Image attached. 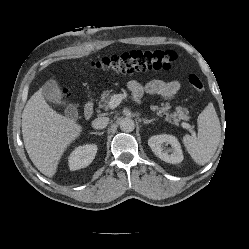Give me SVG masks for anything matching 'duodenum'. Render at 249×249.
<instances>
[{
	"label": "duodenum",
	"mask_w": 249,
	"mask_h": 249,
	"mask_svg": "<svg viewBox=\"0 0 249 249\" xmlns=\"http://www.w3.org/2000/svg\"><path fill=\"white\" fill-rule=\"evenodd\" d=\"M94 110H95V102L93 98H90L84 106L83 114L85 119L87 120L91 119L94 115Z\"/></svg>",
	"instance_id": "duodenum-1"
}]
</instances>
